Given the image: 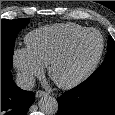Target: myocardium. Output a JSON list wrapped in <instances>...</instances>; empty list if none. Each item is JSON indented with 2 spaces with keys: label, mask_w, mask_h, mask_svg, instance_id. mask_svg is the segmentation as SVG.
<instances>
[{
  "label": "myocardium",
  "mask_w": 115,
  "mask_h": 115,
  "mask_svg": "<svg viewBox=\"0 0 115 115\" xmlns=\"http://www.w3.org/2000/svg\"><path fill=\"white\" fill-rule=\"evenodd\" d=\"M89 33H96L100 38V48L97 56L92 61V63L85 68L83 71H81L79 74H77L74 77H71L69 79L60 80L56 78L55 76V70L56 68L69 56L71 53L73 47L75 44L85 35ZM105 43L104 38L100 31L94 28H87L76 35H74L72 38H70L67 43L51 58L49 63L47 64L48 69V75L51 78V80L60 88L63 89H71L82 82H84L88 77L92 75V73L96 70L98 67L103 53H104Z\"/></svg>",
  "instance_id": "f54148a6"
}]
</instances>
